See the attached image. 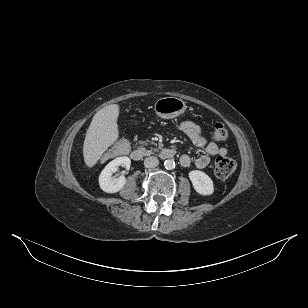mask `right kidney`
I'll use <instances>...</instances> for the list:
<instances>
[{"label":"right kidney","instance_id":"obj_1","mask_svg":"<svg viewBox=\"0 0 308 308\" xmlns=\"http://www.w3.org/2000/svg\"><path fill=\"white\" fill-rule=\"evenodd\" d=\"M130 165L131 160L126 156L118 157L108 163L99 176L100 188L107 193H116L120 191L126 183V178L124 176L114 178L112 175L117 171L119 166H124L129 170Z\"/></svg>","mask_w":308,"mask_h":308}]
</instances>
